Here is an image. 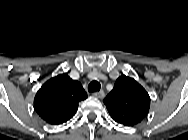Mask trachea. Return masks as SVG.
Instances as JSON below:
<instances>
[{
	"label": "trachea",
	"mask_w": 188,
	"mask_h": 140,
	"mask_svg": "<svg viewBox=\"0 0 188 140\" xmlns=\"http://www.w3.org/2000/svg\"><path fill=\"white\" fill-rule=\"evenodd\" d=\"M101 88V85L98 81H92L89 85H88V91L89 92H95V91H99Z\"/></svg>",
	"instance_id": "obj_1"
}]
</instances>
